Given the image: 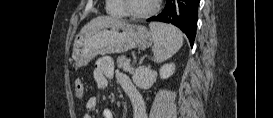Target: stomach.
Wrapping results in <instances>:
<instances>
[{
    "instance_id": "1",
    "label": "stomach",
    "mask_w": 273,
    "mask_h": 118,
    "mask_svg": "<svg viewBox=\"0 0 273 118\" xmlns=\"http://www.w3.org/2000/svg\"><path fill=\"white\" fill-rule=\"evenodd\" d=\"M152 41L146 27L115 21L79 34L73 44L72 59L76 66H86L97 55L147 48Z\"/></svg>"
}]
</instances>
